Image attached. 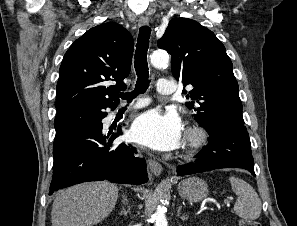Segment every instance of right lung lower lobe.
<instances>
[{"instance_id":"98d812e1","label":"right lung lower lobe","mask_w":297,"mask_h":226,"mask_svg":"<svg viewBox=\"0 0 297 226\" xmlns=\"http://www.w3.org/2000/svg\"><path fill=\"white\" fill-rule=\"evenodd\" d=\"M117 105L82 104L57 112L54 120L56 136L53 145V192L88 181L109 180L122 184L148 181L146 162L135 156L130 144L113 145L116 133L103 134L101 120L107 107Z\"/></svg>"}]
</instances>
